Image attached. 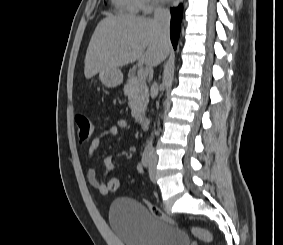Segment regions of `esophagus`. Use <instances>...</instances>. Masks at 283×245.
<instances>
[{
  "mask_svg": "<svg viewBox=\"0 0 283 245\" xmlns=\"http://www.w3.org/2000/svg\"><path fill=\"white\" fill-rule=\"evenodd\" d=\"M180 2H182V0H174V1H173V6H174V7H175V6H178Z\"/></svg>",
  "mask_w": 283,
  "mask_h": 245,
  "instance_id": "obj_1",
  "label": "esophagus"
}]
</instances>
